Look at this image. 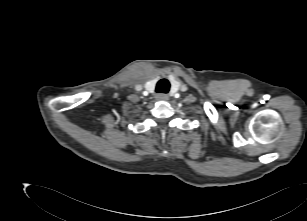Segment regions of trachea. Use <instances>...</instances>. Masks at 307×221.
<instances>
[{
	"mask_svg": "<svg viewBox=\"0 0 307 221\" xmlns=\"http://www.w3.org/2000/svg\"><path fill=\"white\" fill-rule=\"evenodd\" d=\"M170 89V82L167 79H161L156 85V92L158 93H168Z\"/></svg>",
	"mask_w": 307,
	"mask_h": 221,
	"instance_id": "obj_1",
	"label": "trachea"
}]
</instances>
